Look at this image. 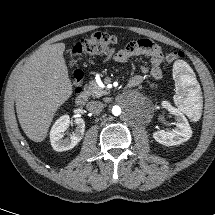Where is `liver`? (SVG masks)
I'll use <instances>...</instances> for the list:
<instances>
[{
  "label": "liver",
  "instance_id": "6515ba94",
  "mask_svg": "<svg viewBox=\"0 0 215 215\" xmlns=\"http://www.w3.org/2000/svg\"><path fill=\"white\" fill-rule=\"evenodd\" d=\"M64 50V43L40 48L14 75L17 117L26 136L34 142L46 138L57 109L73 92Z\"/></svg>",
  "mask_w": 215,
  "mask_h": 215
}]
</instances>
